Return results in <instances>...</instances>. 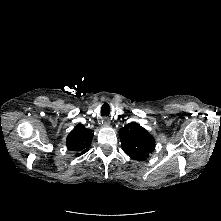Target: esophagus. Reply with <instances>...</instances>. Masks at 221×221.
Wrapping results in <instances>:
<instances>
[{"instance_id":"esophagus-1","label":"esophagus","mask_w":221,"mask_h":221,"mask_svg":"<svg viewBox=\"0 0 221 221\" xmlns=\"http://www.w3.org/2000/svg\"><path fill=\"white\" fill-rule=\"evenodd\" d=\"M102 123H103L104 126H110L111 120H110L109 117H106V116H105V117L103 118Z\"/></svg>"}]
</instances>
